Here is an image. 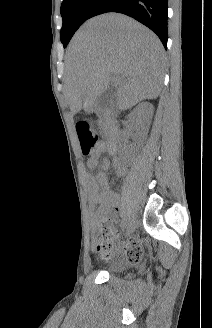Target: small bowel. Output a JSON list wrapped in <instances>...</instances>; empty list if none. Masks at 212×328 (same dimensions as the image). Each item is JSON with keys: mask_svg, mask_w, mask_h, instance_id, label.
I'll return each instance as SVG.
<instances>
[{"mask_svg": "<svg viewBox=\"0 0 212 328\" xmlns=\"http://www.w3.org/2000/svg\"><path fill=\"white\" fill-rule=\"evenodd\" d=\"M106 148V143L100 141L93 156L87 161V166L96 170L94 176L89 175L87 178L89 199L91 203L98 205L92 216L95 226L107 220L114 221L121 201L120 195L109 187L106 169L112 164L118 177H123L127 172L126 167L117 159H114L112 162L106 159L101 165L98 164V155L104 152ZM94 245H96V242ZM140 253L139 242L134 239L128 241L125 247L119 251L120 255L128 256L131 261H134Z\"/></svg>", "mask_w": 212, "mask_h": 328, "instance_id": "c3829d8e", "label": "small bowel"}]
</instances>
